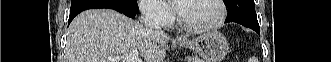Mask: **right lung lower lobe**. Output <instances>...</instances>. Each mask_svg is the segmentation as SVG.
<instances>
[{"label": "right lung lower lobe", "mask_w": 331, "mask_h": 62, "mask_svg": "<svg viewBox=\"0 0 331 62\" xmlns=\"http://www.w3.org/2000/svg\"><path fill=\"white\" fill-rule=\"evenodd\" d=\"M98 8H109L116 10L120 13H123L124 15L134 18L137 13L130 12L129 10L114 6V5H109V4H85L81 5L79 7L70 9V15H69V21L68 24L71 23V21L74 19L76 15H78L80 12L87 10V9H98Z\"/></svg>", "instance_id": "98d812e1"}]
</instances>
